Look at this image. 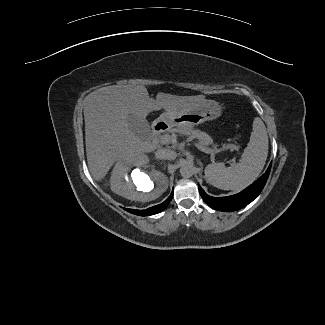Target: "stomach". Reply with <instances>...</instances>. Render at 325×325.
I'll return each mask as SVG.
<instances>
[{"mask_svg": "<svg viewBox=\"0 0 325 325\" xmlns=\"http://www.w3.org/2000/svg\"><path fill=\"white\" fill-rule=\"evenodd\" d=\"M222 113V106L214 100H205L188 111L178 113H163L159 120L170 126L191 127L207 120L218 118Z\"/></svg>", "mask_w": 325, "mask_h": 325, "instance_id": "stomach-1", "label": "stomach"}]
</instances>
